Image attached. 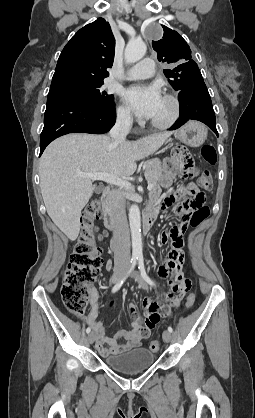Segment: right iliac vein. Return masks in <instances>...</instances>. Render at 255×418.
I'll return each instance as SVG.
<instances>
[{"label": "right iliac vein", "instance_id": "right-iliac-vein-1", "mask_svg": "<svg viewBox=\"0 0 255 418\" xmlns=\"http://www.w3.org/2000/svg\"><path fill=\"white\" fill-rule=\"evenodd\" d=\"M125 272H126L125 267L120 266V267L115 268L114 273H113L112 278H111L112 283L119 282L123 278V276L125 275ZM94 341H95V335H94L93 332H91L88 335V342L90 344H93Z\"/></svg>", "mask_w": 255, "mask_h": 418}]
</instances>
